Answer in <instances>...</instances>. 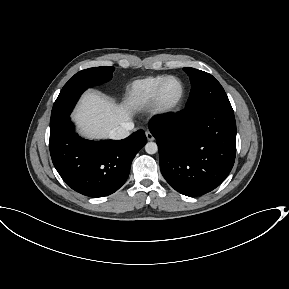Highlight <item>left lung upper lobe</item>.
Returning <instances> with one entry per match:
<instances>
[{
  "label": "left lung upper lobe",
  "instance_id": "left-lung-upper-lobe-1",
  "mask_svg": "<svg viewBox=\"0 0 289 289\" xmlns=\"http://www.w3.org/2000/svg\"><path fill=\"white\" fill-rule=\"evenodd\" d=\"M183 69L191 81V92L185 108L218 106L233 110L223 87L211 74L190 67Z\"/></svg>",
  "mask_w": 289,
  "mask_h": 289
}]
</instances>
